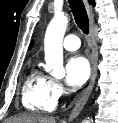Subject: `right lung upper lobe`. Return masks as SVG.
<instances>
[{
	"label": "right lung upper lobe",
	"instance_id": "obj_1",
	"mask_svg": "<svg viewBox=\"0 0 118 123\" xmlns=\"http://www.w3.org/2000/svg\"><path fill=\"white\" fill-rule=\"evenodd\" d=\"M91 3L94 5L95 4L94 0H91ZM31 46H32V44L30 45V48H31Z\"/></svg>",
	"mask_w": 118,
	"mask_h": 123
}]
</instances>
